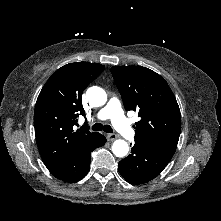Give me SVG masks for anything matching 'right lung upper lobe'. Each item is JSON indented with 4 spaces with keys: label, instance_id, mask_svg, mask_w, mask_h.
<instances>
[{
    "label": "right lung upper lobe",
    "instance_id": "1",
    "mask_svg": "<svg viewBox=\"0 0 221 221\" xmlns=\"http://www.w3.org/2000/svg\"><path fill=\"white\" fill-rule=\"evenodd\" d=\"M104 70L101 64L76 62L59 68L42 88L34 110L38 148L48 169L91 144L97 132L88 126L75 130L77 117L85 116L84 89Z\"/></svg>",
    "mask_w": 221,
    "mask_h": 221
}]
</instances>
